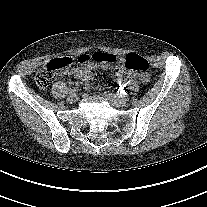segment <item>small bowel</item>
Returning a JSON list of instances; mask_svg holds the SVG:
<instances>
[{"label": "small bowel", "instance_id": "1", "mask_svg": "<svg viewBox=\"0 0 207 207\" xmlns=\"http://www.w3.org/2000/svg\"><path fill=\"white\" fill-rule=\"evenodd\" d=\"M79 62L81 64V67L74 70L73 74L77 78H79L86 85V87H89V81L93 78V69L95 68L96 65H95L94 61H92L88 58L87 54L81 55L79 57ZM105 66L106 65H103V67H105ZM115 72L120 77H122V76L127 77V78H135L136 77L135 73L127 70L122 65L116 66ZM139 78L142 82L148 81L147 75H140Z\"/></svg>", "mask_w": 207, "mask_h": 207}]
</instances>
